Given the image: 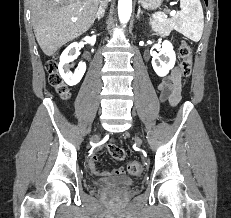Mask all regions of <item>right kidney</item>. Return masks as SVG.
I'll return each instance as SVG.
<instances>
[{
	"label": "right kidney",
	"instance_id": "1",
	"mask_svg": "<svg viewBox=\"0 0 231 218\" xmlns=\"http://www.w3.org/2000/svg\"><path fill=\"white\" fill-rule=\"evenodd\" d=\"M84 41H86V43L88 44L94 45L96 37H85ZM79 49V44L77 42H74L70 44L60 56V62L58 66L59 73L69 86L77 85L86 71V64L84 62H81L79 64L78 68L75 70L74 73H72L70 70L71 62L73 61L74 57L78 54Z\"/></svg>",
	"mask_w": 231,
	"mask_h": 218
}]
</instances>
